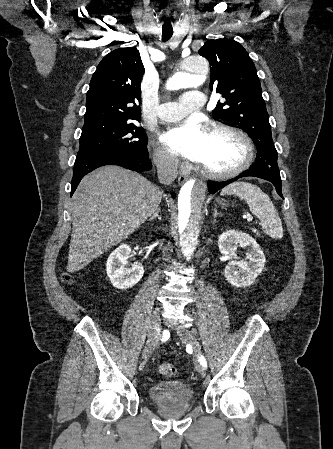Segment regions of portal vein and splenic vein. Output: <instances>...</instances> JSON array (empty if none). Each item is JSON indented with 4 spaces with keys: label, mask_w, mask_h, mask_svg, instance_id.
Instances as JSON below:
<instances>
[{
    "label": "portal vein and splenic vein",
    "mask_w": 333,
    "mask_h": 449,
    "mask_svg": "<svg viewBox=\"0 0 333 449\" xmlns=\"http://www.w3.org/2000/svg\"><path fill=\"white\" fill-rule=\"evenodd\" d=\"M246 218L249 222H252V220H253V217L251 215H247Z\"/></svg>",
    "instance_id": "18ae733b"
}]
</instances>
